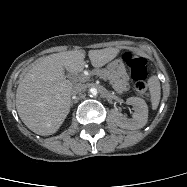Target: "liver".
Returning <instances> with one entry per match:
<instances>
[{
	"label": "liver",
	"mask_w": 187,
	"mask_h": 187,
	"mask_svg": "<svg viewBox=\"0 0 187 187\" xmlns=\"http://www.w3.org/2000/svg\"><path fill=\"white\" fill-rule=\"evenodd\" d=\"M119 53L118 48L90 50L95 68L103 67ZM85 51L73 50L39 58L25 72L16 92V109L23 123L38 135L57 132L70 111L73 84L64 70L80 73L85 67Z\"/></svg>",
	"instance_id": "liver-1"
}]
</instances>
